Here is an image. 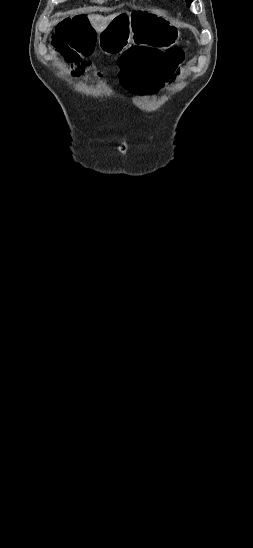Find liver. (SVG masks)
Instances as JSON below:
<instances>
[{
    "label": "liver",
    "mask_w": 253,
    "mask_h": 548,
    "mask_svg": "<svg viewBox=\"0 0 253 548\" xmlns=\"http://www.w3.org/2000/svg\"><path fill=\"white\" fill-rule=\"evenodd\" d=\"M118 14H112L109 16H101V15H88V20L93 27V29L99 33L100 31L104 30L109 23L117 16Z\"/></svg>",
    "instance_id": "obj_1"
}]
</instances>
